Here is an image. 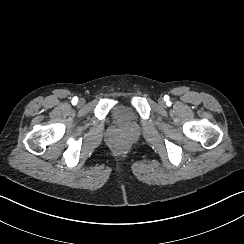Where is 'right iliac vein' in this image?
<instances>
[{
    "label": "right iliac vein",
    "instance_id": "63e3f726",
    "mask_svg": "<svg viewBox=\"0 0 244 244\" xmlns=\"http://www.w3.org/2000/svg\"><path fill=\"white\" fill-rule=\"evenodd\" d=\"M85 104V100L83 99V98H81L80 100H79V105L80 106H83Z\"/></svg>",
    "mask_w": 244,
    "mask_h": 244
}]
</instances>
